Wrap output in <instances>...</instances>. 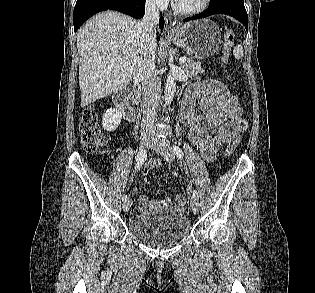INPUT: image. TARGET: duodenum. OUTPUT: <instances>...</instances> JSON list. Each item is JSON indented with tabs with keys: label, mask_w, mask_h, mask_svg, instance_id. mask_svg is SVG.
<instances>
[{
	"label": "duodenum",
	"mask_w": 315,
	"mask_h": 293,
	"mask_svg": "<svg viewBox=\"0 0 315 293\" xmlns=\"http://www.w3.org/2000/svg\"><path fill=\"white\" fill-rule=\"evenodd\" d=\"M131 93L132 90L130 87H123L114 94L113 101L123 117L132 122L135 120L136 114L135 109L129 103Z\"/></svg>",
	"instance_id": "obj_1"
}]
</instances>
